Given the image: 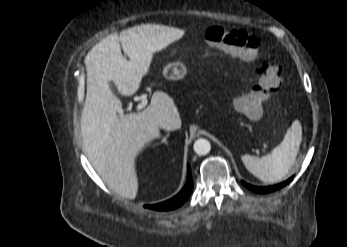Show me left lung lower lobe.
I'll list each match as a JSON object with an SVG mask.
<instances>
[{
  "mask_svg": "<svg viewBox=\"0 0 347 247\" xmlns=\"http://www.w3.org/2000/svg\"><path fill=\"white\" fill-rule=\"evenodd\" d=\"M293 177H291L290 179H288L285 182H282L280 184L274 185V186H269V187H257V186H252L249 185L247 183H245L244 181H242L243 185L246 186L247 188L251 189L252 191L256 192V193H270L273 191H276L278 189H281L282 187H284L285 185H287L288 183H290L292 181Z\"/></svg>",
  "mask_w": 347,
  "mask_h": 247,
  "instance_id": "left-lung-lower-lobe-1",
  "label": "left lung lower lobe"
}]
</instances>
